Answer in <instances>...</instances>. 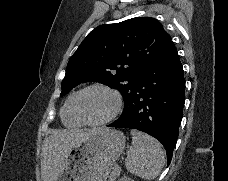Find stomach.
Wrapping results in <instances>:
<instances>
[{"label":"stomach","instance_id":"1","mask_svg":"<svg viewBox=\"0 0 228 181\" xmlns=\"http://www.w3.org/2000/svg\"><path fill=\"white\" fill-rule=\"evenodd\" d=\"M126 143L121 131L102 129L71 149L60 181H108Z\"/></svg>","mask_w":228,"mask_h":181}]
</instances>
